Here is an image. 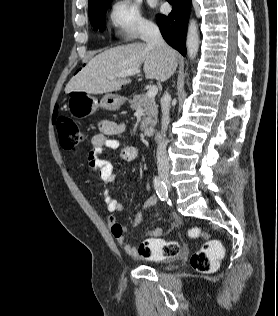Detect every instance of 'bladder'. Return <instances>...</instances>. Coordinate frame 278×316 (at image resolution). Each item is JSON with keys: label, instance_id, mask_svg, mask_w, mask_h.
Wrapping results in <instances>:
<instances>
[{"label": "bladder", "instance_id": "1", "mask_svg": "<svg viewBox=\"0 0 278 316\" xmlns=\"http://www.w3.org/2000/svg\"><path fill=\"white\" fill-rule=\"evenodd\" d=\"M168 268H169L168 266L165 267V269H168Z\"/></svg>", "mask_w": 278, "mask_h": 316}]
</instances>
